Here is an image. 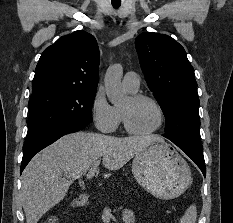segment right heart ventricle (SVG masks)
I'll use <instances>...</instances> for the list:
<instances>
[{"mask_svg":"<svg viewBox=\"0 0 233 223\" xmlns=\"http://www.w3.org/2000/svg\"><path fill=\"white\" fill-rule=\"evenodd\" d=\"M118 111V110H117ZM119 115H120V112L118 111ZM120 118H121V115H120Z\"/></svg>","mask_w":233,"mask_h":223,"instance_id":"obj_1","label":"right heart ventricle"}]
</instances>
